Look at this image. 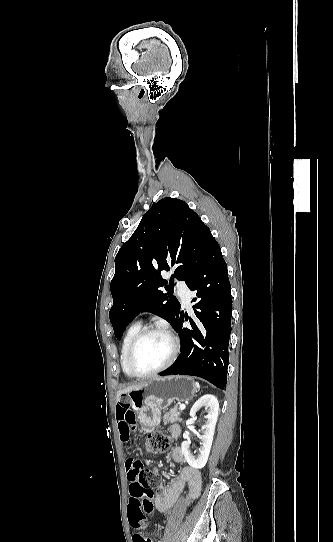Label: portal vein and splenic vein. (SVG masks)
<instances>
[{
  "label": "portal vein and splenic vein",
  "mask_w": 333,
  "mask_h": 542,
  "mask_svg": "<svg viewBox=\"0 0 333 542\" xmlns=\"http://www.w3.org/2000/svg\"><path fill=\"white\" fill-rule=\"evenodd\" d=\"M186 406H184V404H182V406H180V410H185Z\"/></svg>",
  "instance_id": "obj_1"
}]
</instances>
